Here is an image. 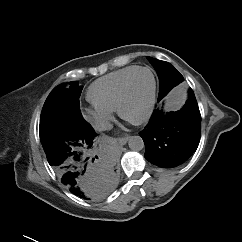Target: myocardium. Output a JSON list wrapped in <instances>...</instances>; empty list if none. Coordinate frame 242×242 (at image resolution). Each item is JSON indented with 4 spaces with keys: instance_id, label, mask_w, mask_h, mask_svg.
<instances>
[{
    "instance_id": "obj_1",
    "label": "myocardium",
    "mask_w": 242,
    "mask_h": 242,
    "mask_svg": "<svg viewBox=\"0 0 242 242\" xmlns=\"http://www.w3.org/2000/svg\"><path fill=\"white\" fill-rule=\"evenodd\" d=\"M140 71H147V72L150 73V75L152 77V81H153L152 92H151V96H150L148 106H147L144 114L137 119H130L124 114L123 107H124L125 101H126L127 96H128L130 83H131L133 77ZM157 86H158L157 85V78H156V75H155V73L153 72L152 69H150L148 67H137L133 72H131L129 74V76L126 78V80L124 81V83L122 85V88H121V91H120V94H119V97H118V101H117L118 115L122 119H124V120H126V121H128V122H130L131 124H134V125H140V124H143L146 121H148L149 118L151 117L153 111H154V107H155V104H156Z\"/></svg>"
}]
</instances>
